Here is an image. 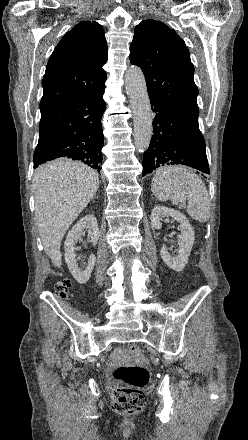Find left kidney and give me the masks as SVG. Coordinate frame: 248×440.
Listing matches in <instances>:
<instances>
[{"label":"left kidney","instance_id":"1","mask_svg":"<svg viewBox=\"0 0 248 440\" xmlns=\"http://www.w3.org/2000/svg\"><path fill=\"white\" fill-rule=\"evenodd\" d=\"M172 217L180 223L181 234L178 236L179 250L177 256H171L165 245L162 246L160 254L165 264L175 270L182 271L188 263V257L194 244V231L186 216L180 211L167 207L156 206L151 212V226L154 229H161L162 218Z\"/></svg>","mask_w":248,"mask_h":440}]
</instances>
